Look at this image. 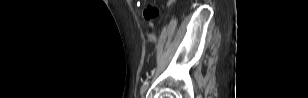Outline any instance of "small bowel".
<instances>
[{"label":"small bowel","instance_id":"1","mask_svg":"<svg viewBox=\"0 0 308 98\" xmlns=\"http://www.w3.org/2000/svg\"><path fill=\"white\" fill-rule=\"evenodd\" d=\"M146 18H149L148 16L144 15Z\"/></svg>","mask_w":308,"mask_h":98}]
</instances>
